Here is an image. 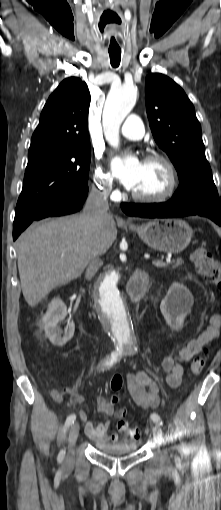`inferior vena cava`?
I'll use <instances>...</instances> for the list:
<instances>
[{
	"mask_svg": "<svg viewBox=\"0 0 221 510\" xmlns=\"http://www.w3.org/2000/svg\"><path fill=\"white\" fill-rule=\"evenodd\" d=\"M108 195L109 190H99L92 188L85 203L84 212L88 215V219L92 227L101 228L108 220L110 215L108 213ZM101 266V261L96 253H91L89 256V264L86 270V278L92 279L95 273Z\"/></svg>",
	"mask_w": 221,
	"mask_h": 510,
	"instance_id": "602c4592",
	"label": "inferior vena cava"
}]
</instances>
